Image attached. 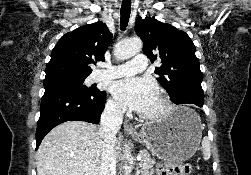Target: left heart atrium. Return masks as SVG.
<instances>
[{
	"label": "left heart atrium",
	"instance_id": "1",
	"mask_svg": "<svg viewBox=\"0 0 251 175\" xmlns=\"http://www.w3.org/2000/svg\"><path fill=\"white\" fill-rule=\"evenodd\" d=\"M112 92L121 106L139 113H150L159 100L156 83L140 76H129L114 82Z\"/></svg>",
	"mask_w": 251,
	"mask_h": 175
}]
</instances>
